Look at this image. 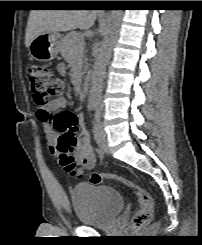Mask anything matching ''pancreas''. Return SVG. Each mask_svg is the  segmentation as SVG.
<instances>
[{"instance_id":"pancreas-1","label":"pancreas","mask_w":202,"mask_h":245,"mask_svg":"<svg viewBox=\"0 0 202 245\" xmlns=\"http://www.w3.org/2000/svg\"><path fill=\"white\" fill-rule=\"evenodd\" d=\"M60 52L64 59L75 66L78 62L83 63L84 59V41L77 32L67 34L61 42Z\"/></svg>"}]
</instances>
